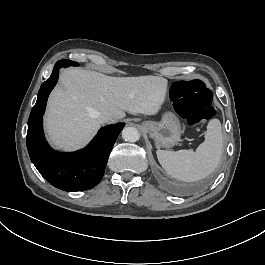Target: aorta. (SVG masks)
Here are the masks:
<instances>
[{
  "instance_id": "1",
  "label": "aorta",
  "mask_w": 265,
  "mask_h": 265,
  "mask_svg": "<svg viewBox=\"0 0 265 265\" xmlns=\"http://www.w3.org/2000/svg\"><path fill=\"white\" fill-rule=\"evenodd\" d=\"M122 138L128 142H136L139 140V133L133 127H127L122 130Z\"/></svg>"
}]
</instances>
